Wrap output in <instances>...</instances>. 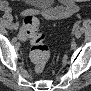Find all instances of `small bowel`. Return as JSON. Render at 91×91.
Returning <instances> with one entry per match:
<instances>
[{
	"instance_id": "obj_1",
	"label": "small bowel",
	"mask_w": 91,
	"mask_h": 91,
	"mask_svg": "<svg viewBox=\"0 0 91 91\" xmlns=\"http://www.w3.org/2000/svg\"><path fill=\"white\" fill-rule=\"evenodd\" d=\"M1 9L10 12L7 2L2 3ZM79 7L75 1L63 2L60 6L53 7L50 1L37 0L33 7L24 11V14H42L45 17L66 18L77 13Z\"/></svg>"
}]
</instances>
